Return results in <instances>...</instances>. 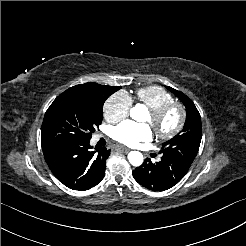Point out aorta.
Listing matches in <instances>:
<instances>
[{
  "mask_svg": "<svg viewBox=\"0 0 246 246\" xmlns=\"http://www.w3.org/2000/svg\"><path fill=\"white\" fill-rule=\"evenodd\" d=\"M144 106L136 105L130 109V116L132 119L140 121V117L142 114ZM128 160L133 166H140L143 163V155L139 151H131L128 154Z\"/></svg>",
  "mask_w": 246,
  "mask_h": 246,
  "instance_id": "1",
  "label": "aorta"
}]
</instances>
